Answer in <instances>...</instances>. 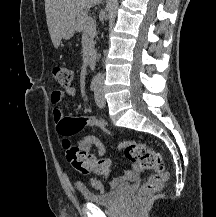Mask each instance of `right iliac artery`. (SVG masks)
<instances>
[{
  "instance_id": "1",
  "label": "right iliac artery",
  "mask_w": 216,
  "mask_h": 217,
  "mask_svg": "<svg viewBox=\"0 0 216 217\" xmlns=\"http://www.w3.org/2000/svg\"><path fill=\"white\" fill-rule=\"evenodd\" d=\"M98 83H99L98 77L95 76L92 79V82H91V85H90V90L93 91V92H96V90L98 88Z\"/></svg>"
}]
</instances>
